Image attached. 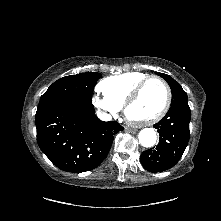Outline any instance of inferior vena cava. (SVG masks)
I'll use <instances>...</instances> for the list:
<instances>
[{
    "mask_svg": "<svg viewBox=\"0 0 221 221\" xmlns=\"http://www.w3.org/2000/svg\"><path fill=\"white\" fill-rule=\"evenodd\" d=\"M97 116L103 121H110L112 119L110 114L101 111L97 112Z\"/></svg>",
    "mask_w": 221,
    "mask_h": 221,
    "instance_id": "inferior-vena-cava-1",
    "label": "inferior vena cava"
}]
</instances>
